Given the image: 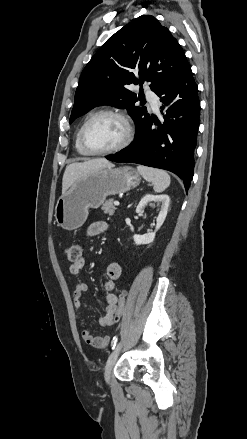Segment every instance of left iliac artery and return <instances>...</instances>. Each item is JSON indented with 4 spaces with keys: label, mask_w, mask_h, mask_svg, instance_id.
I'll return each instance as SVG.
<instances>
[{
    "label": "left iliac artery",
    "mask_w": 247,
    "mask_h": 439,
    "mask_svg": "<svg viewBox=\"0 0 247 439\" xmlns=\"http://www.w3.org/2000/svg\"><path fill=\"white\" fill-rule=\"evenodd\" d=\"M117 340H118V336H115V337L113 338L112 342H111L112 349L115 348L116 343H117Z\"/></svg>",
    "instance_id": "1"
}]
</instances>
